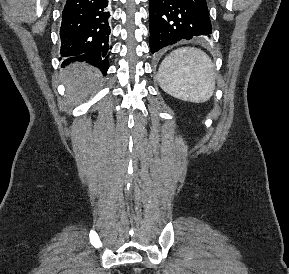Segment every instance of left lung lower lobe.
Returning <instances> with one entry per match:
<instances>
[{
	"mask_svg": "<svg viewBox=\"0 0 289 274\" xmlns=\"http://www.w3.org/2000/svg\"><path fill=\"white\" fill-rule=\"evenodd\" d=\"M150 49L152 53L179 41L210 38L206 0H150Z\"/></svg>",
	"mask_w": 289,
	"mask_h": 274,
	"instance_id": "left-lung-lower-lobe-1",
	"label": "left lung lower lobe"
}]
</instances>
